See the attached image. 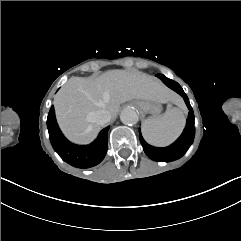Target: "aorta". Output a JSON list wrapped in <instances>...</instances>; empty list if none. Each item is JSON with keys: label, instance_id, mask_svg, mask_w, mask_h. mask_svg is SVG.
<instances>
[{"label": "aorta", "instance_id": "1", "mask_svg": "<svg viewBox=\"0 0 241 241\" xmlns=\"http://www.w3.org/2000/svg\"><path fill=\"white\" fill-rule=\"evenodd\" d=\"M120 120L125 125H134L138 122L139 115L133 108L127 107L121 111Z\"/></svg>", "mask_w": 241, "mask_h": 241}]
</instances>
